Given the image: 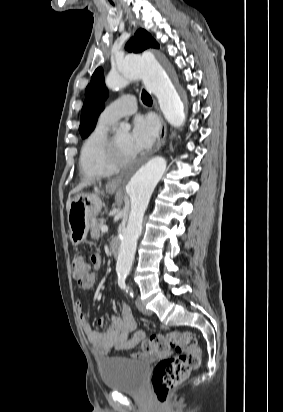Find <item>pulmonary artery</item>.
I'll use <instances>...</instances> for the list:
<instances>
[{"label":"pulmonary artery","mask_w":283,"mask_h":412,"mask_svg":"<svg viewBox=\"0 0 283 412\" xmlns=\"http://www.w3.org/2000/svg\"><path fill=\"white\" fill-rule=\"evenodd\" d=\"M136 110L137 103L135 97L125 95L107 105L100 114L99 120L104 123L114 124L119 119L132 115Z\"/></svg>","instance_id":"pulmonary-artery-1"}]
</instances>
